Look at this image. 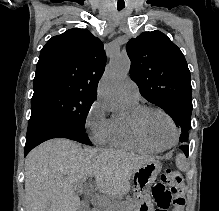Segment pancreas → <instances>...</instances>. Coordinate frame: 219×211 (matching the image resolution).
<instances>
[{
    "instance_id": "pancreas-1",
    "label": "pancreas",
    "mask_w": 219,
    "mask_h": 211,
    "mask_svg": "<svg viewBox=\"0 0 219 211\" xmlns=\"http://www.w3.org/2000/svg\"><path fill=\"white\" fill-rule=\"evenodd\" d=\"M103 211H135L134 200H104Z\"/></svg>"
}]
</instances>
